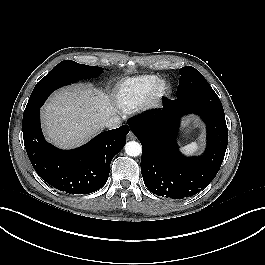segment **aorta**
<instances>
[{
  "label": "aorta",
  "mask_w": 265,
  "mask_h": 265,
  "mask_svg": "<svg viewBox=\"0 0 265 265\" xmlns=\"http://www.w3.org/2000/svg\"><path fill=\"white\" fill-rule=\"evenodd\" d=\"M125 152L132 157L139 156L142 152V146L136 141H130L125 145Z\"/></svg>",
  "instance_id": "762f6f07"
}]
</instances>
